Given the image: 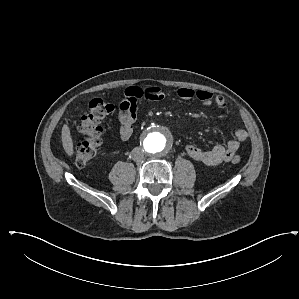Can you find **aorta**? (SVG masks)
Segmentation results:
<instances>
[{
    "label": "aorta",
    "instance_id": "762f6f07",
    "mask_svg": "<svg viewBox=\"0 0 299 299\" xmlns=\"http://www.w3.org/2000/svg\"><path fill=\"white\" fill-rule=\"evenodd\" d=\"M168 139L163 132L154 130L150 132L143 141L145 151L150 155H159L168 147Z\"/></svg>",
    "mask_w": 299,
    "mask_h": 299
}]
</instances>
